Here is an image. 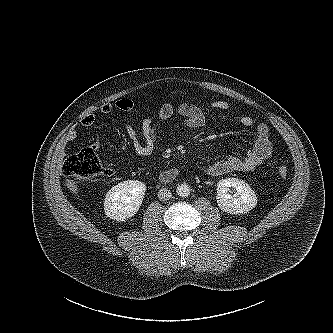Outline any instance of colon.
Here are the masks:
<instances>
[{"instance_id":"1","label":"colon","mask_w":333,"mask_h":333,"mask_svg":"<svg viewBox=\"0 0 333 333\" xmlns=\"http://www.w3.org/2000/svg\"><path fill=\"white\" fill-rule=\"evenodd\" d=\"M64 173L79 181H88L105 172L104 167L93 148H84L68 156L63 165ZM281 178L288 176V168L284 165L278 167Z\"/></svg>"}]
</instances>
